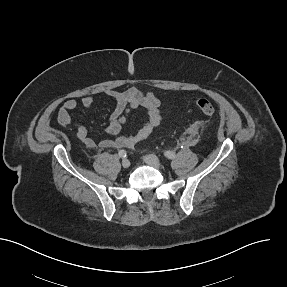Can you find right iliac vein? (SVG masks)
Listing matches in <instances>:
<instances>
[{
	"label": "right iliac vein",
	"mask_w": 287,
	"mask_h": 287,
	"mask_svg": "<svg viewBox=\"0 0 287 287\" xmlns=\"http://www.w3.org/2000/svg\"><path fill=\"white\" fill-rule=\"evenodd\" d=\"M122 166L124 167V168H128L129 166H130V161L128 160V159H123L122 160Z\"/></svg>",
	"instance_id": "1"
}]
</instances>
